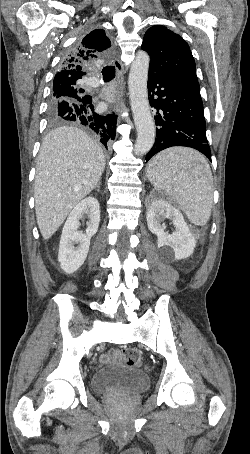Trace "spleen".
<instances>
[{"label": "spleen", "instance_id": "obj_1", "mask_svg": "<svg viewBox=\"0 0 250 454\" xmlns=\"http://www.w3.org/2000/svg\"><path fill=\"white\" fill-rule=\"evenodd\" d=\"M147 177L171 196L189 221L204 226L211 215L213 177L207 160L197 151L173 147L152 158Z\"/></svg>", "mask_w": 250, "mask_h": 454}]
</instances>
